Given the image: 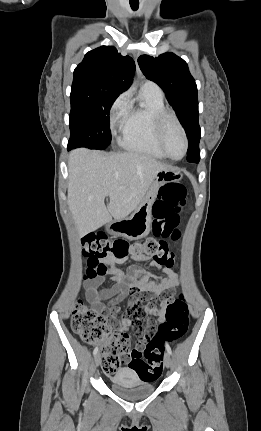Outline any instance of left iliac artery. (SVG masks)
Here are the masks:
<instances>
[{
  "instance_id": "left-iliac-artery-1",
  "label": "left iliac artery",
  "mask_w": 261,
  "mask_h": 431,
  "mask_svg": "<svg viewBox=\"0 0 261 431\" xmlns=\"http://www.w3.org/2000/svg\"><path fill=\"white\" fill-rule=\"evenodd\" d=\"M165 348H166L167 352L171 355L172 351H171V348L167 342L165 343Z\"/></svg>"
}]
</instances>
